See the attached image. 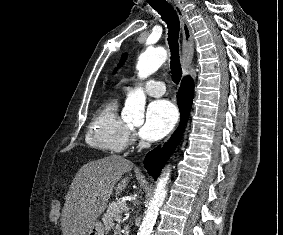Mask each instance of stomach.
<instances>
[{
    "instance_id": "stomach-1",
    "label": "stomach",
    "mask_w": 283,
    "mask_h": 235,
    "mask_svg": "<svg viewBox=\"0 0 283 235\" xmlns=\"http://www.w3.org/2000/svg\"><path fill=\"white\" fill-rule=\"evenodd\" d=\"M105 229L100 221H96L88 230L86 235H104Z\"/></svg>"
}]
</instances>
